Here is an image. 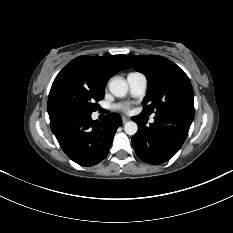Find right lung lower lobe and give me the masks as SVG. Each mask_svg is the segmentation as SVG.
Returning <instances> with one entry per match:
<instances>
[{
	"instance_id": "right-lung-lower-lobe-1",
	"label": "right lung lower lobe",
	"mask_w": 233,
	"mask_h": 233,
	"mask_svg": "<svg viewBox=\"0 0 233 233\" xmlns=\"http://www.w3.org/2000/svg\"><path fill=\"white\" fill-rule=\"evenodd\" d=\"M50 127L66 155L85 167L100 163L108 155L113 137L122 120L109 113L104 121L91 114L61 110L49 112Z\"/></svg>"
}]
</instances>
